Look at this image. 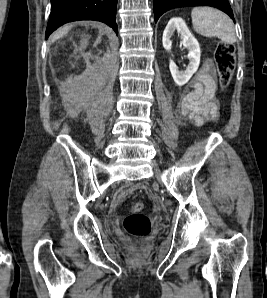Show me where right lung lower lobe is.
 <instances>
[{"instance_id":"98d812e1","label":"right lung lower lobe","mask_w":267,"mask_h":298,"mask_svg":"<svg viewBox=\"0 0 267 298\" xmlns=\"http://www.w3.org/2000/svg\"><path fill=\"white\" fill-rule=\"evenodd\" d=\"M116 5L117 0H51L46 39L59 26L78 20L101 21L118 34Z\"/></svg>"}]
</instances>
